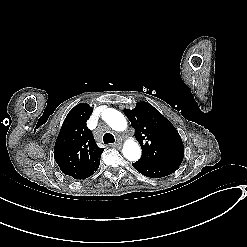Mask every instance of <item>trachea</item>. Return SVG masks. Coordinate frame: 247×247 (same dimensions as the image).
I'll return each instance as SVG.
<instances>
[{"label": "trachea", "mask_w": 247, "mask_h": 247, "mask_svg": "<svg viewBox=\"0 0 247 247\" xmlns=\"http://www.w3.org/2000/svg\"><path fill=\"white\" fill-rule=\"evenodd\" d=\"M104 144H110L115 142V138L111 133L104 134L103 137Z\"/></svg>", "instance_id": "1"}]
</instances>
